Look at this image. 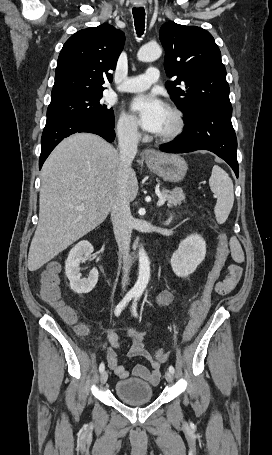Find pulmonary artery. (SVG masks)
I'll return each mask as SVG.
<instances>
[{"label":"pulmonary artery","mask_w":272,"mask_h":455,"mask_svg":"<svg viewBox=\"0 0 272 455\" xmlns=\"http://www.w3.org/2000/svg\"><path fill=\"white\" fill-rule=\"evenodd\" d=\"M159 79V70L155 67H150L147 71L139 76L127 78L118 90L123 92H138L148 89L152 84Z\"/></svg>","instance_id":"pulmonary-artery-1"}]
</instances>
